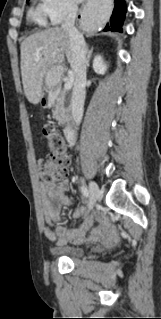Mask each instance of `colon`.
Wrapping results in <instances>:
<instances>
[{
  "mask_svg": "<svg viewBox=\"0 0 161 319\" xmlns=\"http://www.w3.org/2000/svg\"><path fill=\"white\" fill-rule=\"evenodd\" d=\"M42 133L53 150V153L45 159L42 172L44 178L52 183L66 174L70 165V156L63 148V136L53 125H45Z\"/></svg>",
  "mask_w": 161,
  "mask_h": 319,
  "instance_id": "obj_1",
  "label": "colon"
}]
</instances>
